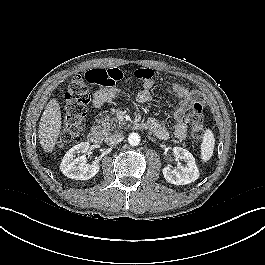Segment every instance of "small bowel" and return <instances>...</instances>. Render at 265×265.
<instances>
[{"mask_svg": "<svg viewBox=\"0 0 265 265\" xmlns=\"http://www.w3.org/2000/svg\"><path fill=\"white\" fill-rule=\"evenodd\" d=\"M115 80L121 79V74L114 75ZM115 81V82H116ZM143 88L137 94V101L147 103L151 101V89L153 86V76L146 77L143 80ZM170 91L180 99V106L173 112L174 128L173 133L175 138L183 140L187 135V126L184 121L185 113L195 104L200 103V96L196 91L190 90L182 84L173 82L169 86ZM117 94L115 83L110 86H104L94 93L93 101L97 106L104 105L107 101L114 98ZM144 126L151 130L160 139H167L169 132L167 128L158 120L148 119Z\"/></svg>", "mask_w": 265, "mask_h": 265, "instance_id": "obj_1", "label": "small bowel"}]
</instances>
